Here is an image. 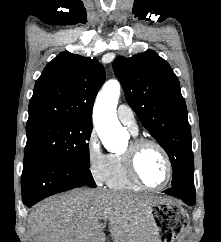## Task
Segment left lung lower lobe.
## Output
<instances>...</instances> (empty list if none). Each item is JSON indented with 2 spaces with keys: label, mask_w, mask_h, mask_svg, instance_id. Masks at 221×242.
I'll return each instance as SVG.
<instances>
[{
  "label": "left lung lower lobe",
  "mask_w": 221,
  "mask_h": 242,
  "mask_svg": "<svg viewBox=\"0 0 221 242\" xmlns=\"http://www.w3.org/2000/svg\"><path fill=\"white\" fill-rule=\"evenodd\" d=\"M165 194L172 195L182 199L188 205L195 204V188L193 179H187L183 182L172 186L164 192Z\"/></svg>",
  "instance_id": "1"
}]
</instances>
